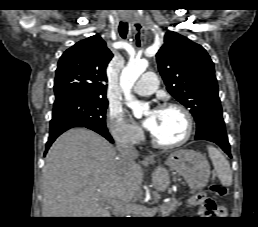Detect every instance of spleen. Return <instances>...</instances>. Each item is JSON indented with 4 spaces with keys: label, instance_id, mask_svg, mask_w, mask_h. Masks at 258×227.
Masks as SVG:
<instances>
[{
    "label": "spleen",
    "instance_id": "spleen-1",
    "mask_svg": "<svg viewBox=\"0 0 258 227\" xmlns=\"http://www.w3.org/2000/svg\"><path fill=\"white\" fill-rule=\"evenodd\" d=\"M207 150L220 182L223 186H230L232 184V170L229 162L217 148L209 145Z\"/></svg>",
    "mask_w": 258,
    "mask_h": 227
}]
</instances>
